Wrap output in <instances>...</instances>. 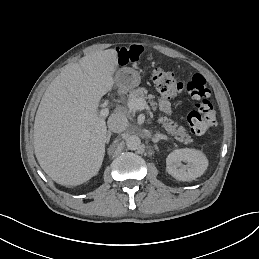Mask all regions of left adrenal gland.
<instances>
[{
  "label": "left adrenal gland",
  "instance_id": "obj_1",
  "mask_svg": "<svg viewBox=\"0 0 259 259\" xmlns=\"http://www.w3.org/2000/svg\"><path fill=\"white\" fill-rule=\"evenodd\" d=\"M152 142L153 143H158L160 140H165L167 141L168 140V137L167 136H164L162 134H156L154 135L152 138H151Z\"/></svg>",
  "mask_w": 259,
  "mask_h": 259
}]
</instances>
